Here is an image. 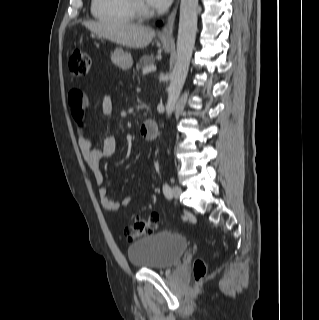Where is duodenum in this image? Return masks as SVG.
Segmentation results:
<instances>
[{
    "mask_svg": "<svg viewBox=\"0 0 319 320\" xmlns=\"http://www.w3.org/2000/svg\"><path fill=\"white\" fill-rule=\"evenodd\" d=\"M158 133V124L153 119H148L140 125V134L145 139H155L158 136Z\"/></svg>",
    "mask_w": 319,
    "mask_h": 320,
    "instance_id": "obj_1",
    "label": "duodenum"
}]
</instances>
